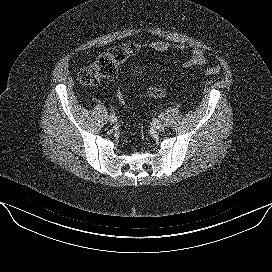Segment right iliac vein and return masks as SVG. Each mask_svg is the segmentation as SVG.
<instances>
[{"instance_id":"63e3f726","label":"right iliac vein","mask_w":272,"mask_h":272,"mask_svg":"<svg viewBox=\"0 0 272 272\" xmlns=\"http://www.w3.org/2000/svg\"><path fill=\"white\" fill-rule=\"evenodd\" d=\"M109 121L111 123H116L117 122V118L116 117H109Z\"/></svg>"}]
</instances>
